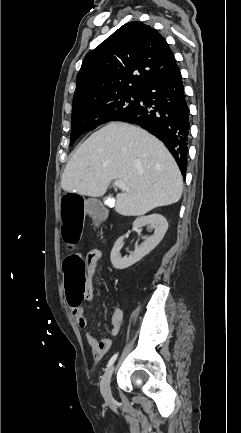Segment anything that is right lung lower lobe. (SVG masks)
Wrapping results in <instances>:
<instances>
[{"label": "right lung lower lobe", "instance_id": "right-lung-lower-lobe-1", "mask_svg": "<svg viewBox=\"0 0 241 433\" xmlns=\"http://www.w3.org/2000/svg\"><path fill=\"white\" fill-rule=\"evenodd\" d=\"M137 107L119 121L137 124L163 141L185 175L189 136V107L180 70L148 82L141 90Z\"/></svg>", "mask_w": 241, "mask_h": 433}]
</instances>
